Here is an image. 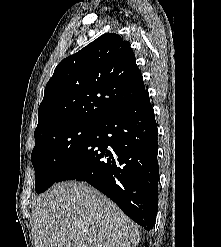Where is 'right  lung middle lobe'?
Instances as JSON below:
<instances>
[{
    "label": "right lung middle lobe",
    "instance_id": "1",
    "mask_svg": "<svg viewBox=\"0 0 221 247\" xmlns=\"http://www.w3.org/2000/svg\"><path fill=\"white\" fill-rule=\"evenodd\" d=\"M97 123L69 122L35 135L32 164L36 174L35 190L53 185L74 155L96 130Z\"/></svg>",
    "mask_w": 221,
    "mask_h": 247
}]
</instances>
